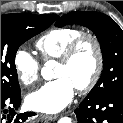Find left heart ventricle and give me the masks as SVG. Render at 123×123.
I'll list each match as a JSON object with an SVG mask.
<instances>
[{
    "label": "left heart ventricle",
    "instance_id": "b2bd125f",
    "mask_svg": "<svg viewBox=\"0 0 123 123\" xmlns=\"http://www.w3.org/2000/svg\"><path fill=\"white\" fill-rule=\"evenodd\" d=\"M96 56L91 43H84L68 65L57 64L55 77L68 78L74 87L85 84L95 68Z\"/></svg>",
    "mask_w": 123,
    "mask_h": 123
}]
</instances>
